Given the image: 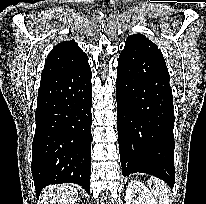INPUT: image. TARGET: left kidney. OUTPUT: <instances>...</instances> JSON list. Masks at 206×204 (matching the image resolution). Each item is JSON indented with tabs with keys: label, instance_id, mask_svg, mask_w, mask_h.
Instances as JSON below:
<instances>
[{
	"label": "left kidney",
	"instance_id": "obj_1",
	"mask_svg": "<svg viewBox=\"0 0 206 204\" xmlns=\"http://www.w3.org/2000/svg\"><path fill=\"white\" fill-rule=\"evenodd\" d=\"M125 201L126 204H157L150 190L138 180L128 184Z\"/></svg>",
	"mask_w": 206,
	"mask_h": 204
}]
</instances>
